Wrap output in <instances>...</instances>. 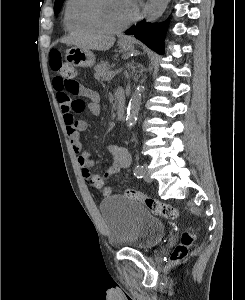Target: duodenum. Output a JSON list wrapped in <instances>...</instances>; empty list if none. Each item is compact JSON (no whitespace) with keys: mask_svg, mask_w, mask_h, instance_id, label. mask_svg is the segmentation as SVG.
Segmentation results:
<instances>
[{"mask_svg":"<svg viewBox=\"0 0 245 300\" xmlns=\"http://www.w3.org/2000/svg\"><path fill=\"white\" fill-rule=\"evenodd\" d=\"M116 113L118 120H123L125 116V99L124 96L118 92L116 94Z\"/></svg>","mask_w":245,"mask_h":300,"instance_id":"410a0bca","label":"duodenum"}]
</instances>
